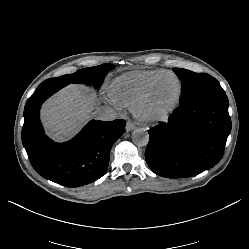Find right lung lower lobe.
I'll return each mask as SVG.
<instances>
[{"instance_id": "1", "label": "right lung lower lobe", "mask_w": 249, "mask_h": 249, "mask_svg": "<svg viewBox=\"0 0 249 249\" xmlns=\"http://www.w3.org/2000/svg\"><path fill=\"white\" fill-rule=\"evenodd\" d=\"M61 88L36 89L27 100L22 142L33 168L41 176L67 187H78L105 174L111 147L125 132L126 122L92 120L71 141L53 142L44 134L39 111L42 103Z\"/></svg>"}]
</instances>
